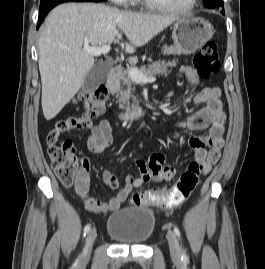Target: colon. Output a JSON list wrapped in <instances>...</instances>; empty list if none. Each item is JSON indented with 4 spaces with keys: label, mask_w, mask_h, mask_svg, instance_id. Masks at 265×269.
<instances>
[{
    "label": "colon",
    "mask_w": 265,
    "mask_h": 269,
    "mask_svg": "<svg viewBox=\"0 0 265 269\" xmlns=\"http://www.w3.org/2000/svg\"><path fill=\"white\" fill-rule=\"evenodd\" d=\"M194 65L200 75L208 78L220 70L217 45L214 41L205 42L194 57ZM108 98V90L104 85L81 95V113L58 121L47 136V152L51 166L64 186L73 185L80 172V162L75 155L70 141L59 142L63 133L73 130H86L91 121L103 113ZM219 133V128L215 129ZM202 164L192 161L182 172L176 183L169 190H139L132 196L135 205H152L158 207H174L186 201L198 185L202 172Z\"/></svg>",
    "instance_id": "colon-1"
}]
</instances>
